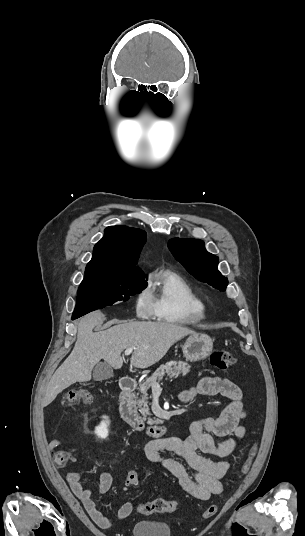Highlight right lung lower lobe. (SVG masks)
<instances>
[{
    "instance_id": "right-lung-lower-lobe-1",
    "label": "right lung lower lobe",
    "mask_w": 305,
    "mask_h": 536,
    "mask_svg": "<svg viewBox=\"0 0 305 536\" xmlns=\"http://www.w3.org/2000/svg\"><path fill=\"white\" fill-rule=\"evenodd\" d=\"M76 318H79L78 316H74L72 315V320L76 319Z\"/></svg>"
}]
</instances>
